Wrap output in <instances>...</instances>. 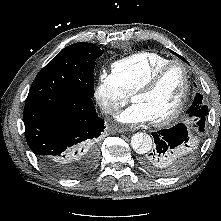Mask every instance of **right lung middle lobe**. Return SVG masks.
<instances>
[{
  "mask_svg": "<svg viewBox=\"0 0 221 221\" xmlns=\"http://www.w3.org/2000/svg\"><path fill=\"white\" fill-rule=\"evenodd\" d=\"M103 50L92 43H74L56 55L36 76L26 103L94 95L95 60Z\"/></svg>",
  "mask_w": 221,
  "mask_h": 221,
  "instance_id": "right-lung-middle-lobe-1",
  "label": "right lung middle lobe"
}]
</instances>
